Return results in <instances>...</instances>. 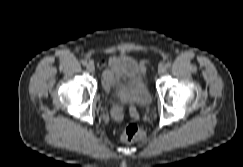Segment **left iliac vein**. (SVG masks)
I'll list each match as a JSON object with an SVG mask.
<instances>
[{
  "mask_svg": "<svg viewBox=\"0 0 243 167\" xmlns=\"http://www.w3.org/2000/svg\"><path fill=\"white\" fill-rule=\"evenodd\" d=\"M166 72V66L165 65H159L158 67V73L164 74Z\"/></svg>",
  "mask_w": 243,
  "mask_h": 167,
  "instance_id": "obj_1",
  "label": "left iliac vein"
}]
</instances>
